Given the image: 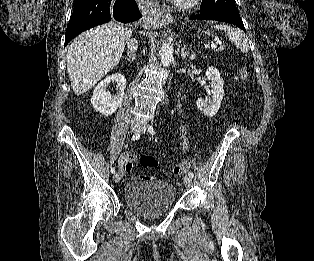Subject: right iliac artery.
I'll return each mask as SVG.
<instances>
[{
    "label": "right iliac artery",
    "instance_id": "obj_1",
    "mask_svg": "<svg viewBox=\"0 0 314 261\" xmlns=\"http://www.w3.org/2000/svg\"><path fill=\"white\" fill-rule=\"evenodd\" d=\"M140 138V134L139 133H136L132 136V140L135 141V140H138ZM111 173L114 174L115 173V168H111Z\"/></svg>",
    "mask_w": 314,
    "mask_h": 261
}]
</instances>
